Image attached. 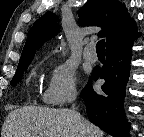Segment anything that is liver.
<instances>
[{"mask_svg": "<svg viewBox=\"0 0 144 137\" xmlns=\"http://www.w3.org/2000/svg\"><path fill=\"white\" fill-rule=\"evenodd\" d=\"M81 122L85 128V137H103L104 132L97 126L82 117ZM42 135L78 137L74 110L26 106L12 110L2 127V137H43Z\"/></svg>", "mask_w": 144, "mask_h": 137, "instance_id": "obj_1", "label": "liver"}]
</instances>
